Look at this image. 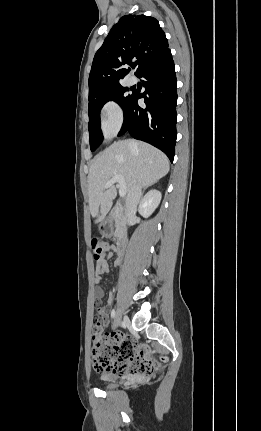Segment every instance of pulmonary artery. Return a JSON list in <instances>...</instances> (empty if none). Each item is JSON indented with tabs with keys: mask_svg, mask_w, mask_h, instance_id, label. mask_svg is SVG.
<instances>
[{
	"mask_svg": "<svg viewBox=\"0 0 261 431\" xmlns=\"http://www.w3.org/2000/svg\"><path fill=\"white\" fill-rule=\"evenodd\" d=\"M128 83H129V85H134L136 83L135 78H133V77L129 78Z\"/></svg>",
	"mask_w": 261,
	"mask_h": 431,
	"instance_id": "obj_1",
	"label": "pulmonary artery"
}]
</instances>
